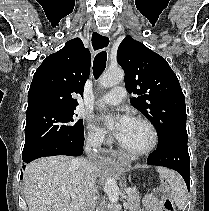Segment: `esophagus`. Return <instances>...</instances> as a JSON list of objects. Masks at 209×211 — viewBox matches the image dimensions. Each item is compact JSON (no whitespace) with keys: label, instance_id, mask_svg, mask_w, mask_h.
Returning a JSON list of instances; mask_svg holds the SVG:
<instances>
[{"label":"esophagus","instance_id":"obj_1","mask_svg":"<svg viewBox=\"0 0 209 211\" xmlns=\"http://www.w3.org/2000/svg\"><path fill=\"white\" fill-rule=\"evenodd\" d=\"M111 38L108 34L100 36L97 33L92 35V46L95 50L100 48L109 49ZM94 163H112V159H121V154H117L115 147H108V151H95L93 154Z\"/></svg>","mask_w":209,"mask_h":211}]
</instances>
